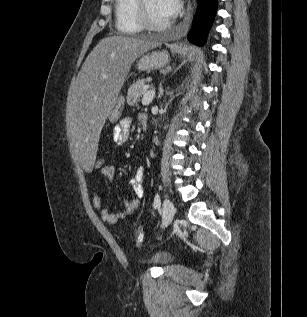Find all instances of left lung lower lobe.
<instances>
[{"instance_id": "0a47b994", "label": "left lung lower lobe", "mask_w": 307, "mask_h": 317, "mask_svg": "<svg viewBox=\"0 0 307 317\" xmlns=\"http://www.w3.org/2000/svg\"><path fill=\"white\" fill-rule=\"evenodd\" d=\"M218 0H199L194 24L187 38L193 44L202 46L213 23L217 11Z\"/></svg>"}]
</instances>
